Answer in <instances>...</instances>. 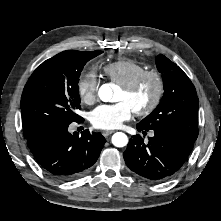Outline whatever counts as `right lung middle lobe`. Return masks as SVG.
<instances>
[{"label": "right lung middle lobe", "mask_w": 221, "mask_h": 221, "mask_svg": "<svg viewBox=\"0 0 221 221\" xmlns=\"http://www.w3.org/2000/svg\"><path fill=\"white\" fill-rule=\"evenodd\" d=\"M102 51L70 54L43 62L31 75L21 97L24 135H37L52 127L78 122L81 109L78 82L84 65Z\"/></svg>", "instance_id": "1"}]
</instances>
